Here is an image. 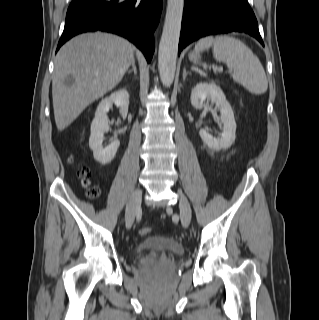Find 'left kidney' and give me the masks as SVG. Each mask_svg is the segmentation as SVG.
Listing matches in <instances>:
<instances>
[{"instance_id": "left-kidney-1", "label": "left kidney", "mask_w": 319, "mask_h": 320, "mask_svg": "<svg viewBox=\"0 0 319 320\" xmlns=\"http://www.w3.org/2000/svg\"><path fill=\"white\" fill-rule=\"evenodd\" d=\"M206 99L215 103L220 109L223 131L220 138L213 137L206 129H201L199 135L209 148L216 151L227 149L234 143L236 137V122L233 110L222 89L214 82H200L191 92V104L195 108H203Z\"/></svg>"}]
</instances>
